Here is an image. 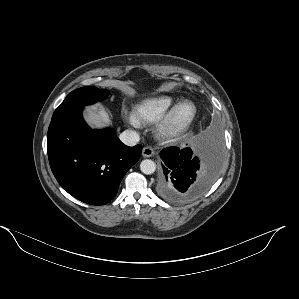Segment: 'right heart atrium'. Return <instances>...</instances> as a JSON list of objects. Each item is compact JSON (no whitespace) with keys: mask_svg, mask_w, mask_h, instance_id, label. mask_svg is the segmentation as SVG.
I'll list each match as a JSON object with an SVG mask.
<instances>
[{"mask_svg":"<svg viewBox=\"0 0 299 299\" xmlns=\"http://www.w3.org/2000/svg\"><path fill=\"white\" fill-rule=\"evenodd\" d=\"M126 121L129 124L134 125V126H138L139 125V121L136 119V117L132 113L126 115Z\"/></svg>","mask_w":299,"mask_h":299,"instance_id":"1","label":"right heart atrium"}]
</instances>
